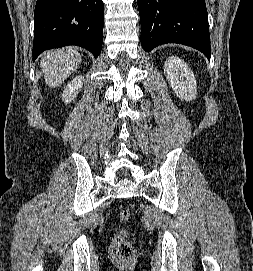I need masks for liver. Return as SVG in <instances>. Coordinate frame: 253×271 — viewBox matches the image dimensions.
<instances>
[{
    "mask_svg": "<svg viewBox=\"0 0 253 271\" xmlns=\"http://www.w3.org/2000/svg\"><path fill=\"white\" fill-rule=\"evenodd\" d=\"M81 57L74 48L50 50L43 54L41 67L50 88L59 87L77 69Z\"/></svg>",
    "mask_w": 253,
    "mask_h": 271,
    "instance_id": "1",
    "label": "liver"
}]
</instances>
